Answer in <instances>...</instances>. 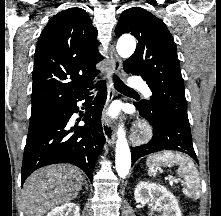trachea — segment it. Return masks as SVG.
I'll return each mask as SVG.
<instances>
[{"mask_svg": "<svg viewBox=\"0 0 221 216\" xmlns=\"http://www.w3.org/2000/svg\"><path fill=\"white\" fill-rule=\"evenodd\" d=\"M114 85L117 90L128 93H136L134 90L126 86L117 75L113 76Z\"/></svg>", "mask_w": 221, "mask_h": 216, "instance_id": "1", "label": "trachea"}]
</instances>
